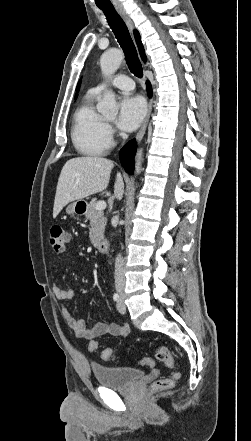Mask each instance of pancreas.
<instances>
[{
  "mask_svg": "<svg viewBox=\"0 0 251 441\" xmlns=\"http://www.w3.org/2000/svg\"><path fill=\"white\" fill-rule=\"evenodd\" d=\"M97 199L94 198L87 206L86 218L90 220V241L93 244L98 243L104 235L105 226L107 224V219L102 210L96 209Z\"/></svg>",
  "mask_w": 251,
  "mask_h": 441,
  "instance_id": "cf45deb5",
  "label": "pancreas"
}]
</instances>
